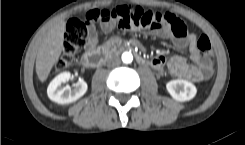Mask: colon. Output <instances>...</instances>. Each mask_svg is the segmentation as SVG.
<instances>
[{"instance_id":"1","label":"colon","mask_w":245,"mask_h":145,"mask_svg":"<svg viewBox=\"0 0 245 145\" xmlns=\"http://www.w3.org/2000/svg\"><path fill=\"white\" fill-rule=\"evenodd\" d=\"M99 18H115L119 28L123 30L135 29L142 31H155L160 28L161 17L158 14L144 11L140 7L105 9L99 11ZM174 33L181 36L185 31V26L179 21L171 24ZM85 25L78 21L72 20L66 24V41L64 43L63 53L56 61L55 68L61 69L80 51L85 43ZM197 49L204 55H209L211 44L207 36L201 35L196 40Z\"/></svg>"}]
</instances>
